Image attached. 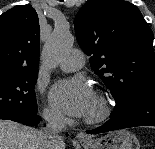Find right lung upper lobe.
<instances>
[{
	"instance_id": "obj_1",
	"label": "right lung upper lobe",
	"mask_w": 155,
	"mask_h": 149,
	"mask_svg": "<svg viewBox=\"0 0 155 149\" xmlns=\"http://www.w3.org/2000/svg\"><path fill=\"white\" fill-rule=\"evenodd\" d=\"M40 29L30 5H18L0 16V70L38 71Z\"/></svg>"
}]
</instances>
